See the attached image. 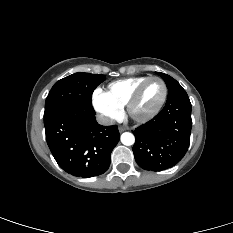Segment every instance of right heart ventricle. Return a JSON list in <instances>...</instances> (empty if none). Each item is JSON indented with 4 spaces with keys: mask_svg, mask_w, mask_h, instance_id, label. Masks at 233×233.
<instances>
[{
    "mask_svg": "<svg viewBox=\"0 0 233 233\" xmlns=\"http://www.w3.org/2000/svg\"><path fill=\"white\" fill-rule=\"evenodd\" d=\"M147 78L142 76L112 82L108 85L104 94L111 103L122 109L126 106L137 86Z\"/></svg>",
    "mask_w": 233,
    "mask_h": 233,
    "instance_id": "obj_1",
    "label": "right heart ventricle"
}]
</instances>
